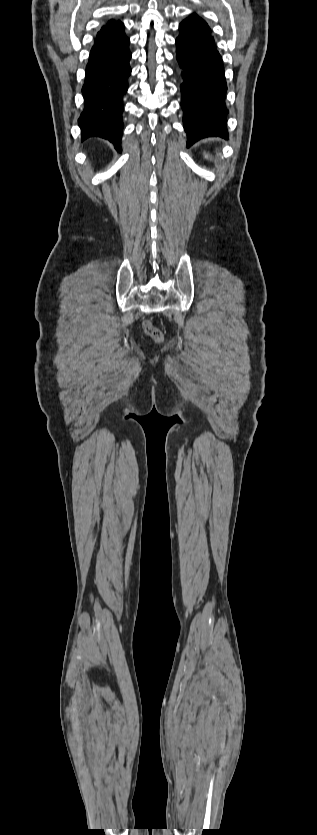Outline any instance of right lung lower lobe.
<instances>
[{
  "label": "right lung lower lobe",
  "mask_w": 317,
  "mask_h": 835,
  "mask_svg": "<svg viewBox=\"0 0 317 835\" xmlns=\"http://www.w3.org/2000/svg\"><path fill=\"white\" fill-rule=\"evenodd\" d=\"M130 58L126 35L111 40L100 32L97 34L82 88L85 107L78 120L82 140L101 137L121 150L123 96L131 74Z\"/></svg>",
  "instance_id": "right-lung-lower-lobe-1"
}]
</instances>
